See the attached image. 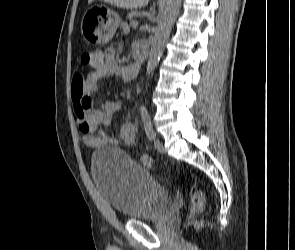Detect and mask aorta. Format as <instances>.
I'll return each mask as SVG.
<instances>
[{"instance_id": "762f6f07", "label": "aorta", "mask_w": 295, "mask_h": 250, "mask_svg": "<svg viewBox=\"0 0 295 250\" xmlns=\"http://www.w3.org/2000/svg\"><path fill=\"white\" fill-rule=\"evenodd\" d=\"M182 0H167L164 11L161 14L159 23L155 30L154 41L151 46L147 74L150 75L156 68L163 53L167 39L169 38L172 26L177 18Z\"/></svg>"}]
</instances>
